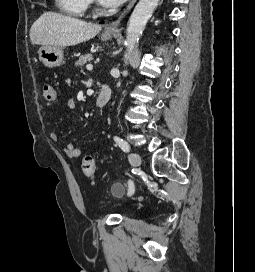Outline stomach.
I'll return each instance as SVG.
<instances>
[{"label":"stomach","mask_w":255,"mask_h":272,"mask_svg":"<svg viewBox=\"0 0 255 272\" xmlns=\"http://www.w3.org/2000/svg\"><path fill=\"white\" fill-rule=\"evenodd\" d=\"M112 38V34L102 33L101 40L108 41ZM40 61L49 68L58 67L63 62V50L60 46H42L39 51Z\"/></svg>","instance_id":"obj_1"}]
</instances>
